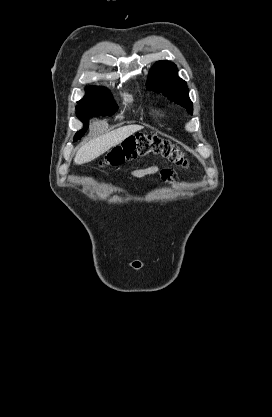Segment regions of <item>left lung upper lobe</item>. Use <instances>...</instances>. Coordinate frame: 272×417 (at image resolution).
I'll list each match as a JSON object with an SVG mask.
<instances>
[{"mask_svg": "<svg viewBox=\"0 0 272 417\" xmlns=\"http://www.w3.org/2000/svg\"><path fill=\"white\" fill-rule=\"evenodd\" d=\"M146 87L157 93H163L192 114L193 104L188 96L187 84L178 77L175 64L169 61L157 62L150 70Z\"/></svg>", "mask_w": 272, "mask_h": 417, "instance_id": "obj_1", "label": "left lung upper lobe"}]
</instances>
